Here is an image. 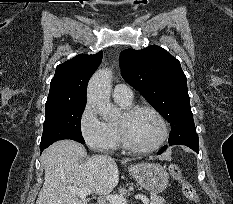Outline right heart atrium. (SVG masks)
I'll use <instances>...</instances> for the list:
<instances>
[{
	"label": "right heart atrium",
	"instance_id": "right-heart-atrium-1",
	"mask_svg": "<svg viewBox=\"0 0 233 204\" xmlns=\"http://www.w3.org/2000/svg\"><path fill=\"white\" fill-rule=\"evenodd\" d=\"M80 133L87 146L94 151H109L116 145L110 126L86 103L79 119Z\"/></svg>",
	"mask_w": 233,
	"mask_h": 204
}]
</instances>
